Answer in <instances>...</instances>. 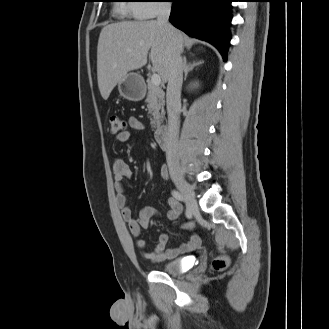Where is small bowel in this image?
<instances>
[{"mask_svg": "<svg viewBox=\"0 0 329 329\" xmlns=\"http://www.w3.org/2000/svg\"><path fill=\"white\" fill-rule=\"evenodd\" d=\"M128 126L132 130H143L145 125L134 117L128 119ZM120 143H127L130 141L129 131H123L116 137ZM112 172L114 177V185L116 189V201L120 208L121 216L127 223L130 233L135 237V245L141 250L142 257L151 262H162L173 259L181 254L193 251L199 245V239L196 236L191 237L187 242L175 246L173 248H167L169 237L166 234H162L159 237L158 243L155 246L154 251L148 252L145 250L146 242L141 236L143 229H147L150 225L152 218L158 216V212L150 206L144 207L139 212L137 219L133 218L131 208L128 204V197L124 189V180L132 176V170L130 166L125 162L123 158H116L113 162ZM160 174L162 178L167 179L169 176L166 166H161ZM170 208L167 212V217L170 220L177 219L182 211L180 203L175 198L169 200Z\"/></svg>", "mask_w": 329, "mask_h": 329, "instance_id": "small-bowel-1", "label": "small bowel"}]
</instances>
